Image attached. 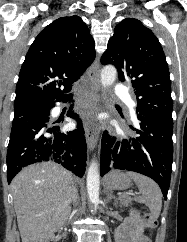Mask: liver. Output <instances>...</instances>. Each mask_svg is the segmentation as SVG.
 Here are the masks:
<instances>
[{"label":"liver","instance_id":"1","mask_svg":"<svg viewBox=\"0 0 187 242\" xmlns=\"http://www.w3.org/2000/svg\"><path fill=\"white\" fill-rule=\"evenodd\" d=\"M75 179L53 162L30 165L11 183L22 242H42L62 228L71 213Z\"/></svg>","mask_w":187,"mask_h":242}]
</instances>
